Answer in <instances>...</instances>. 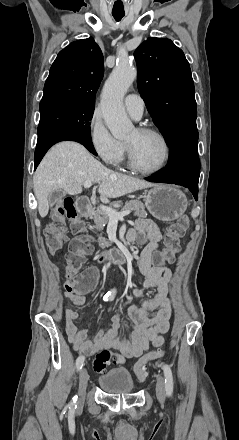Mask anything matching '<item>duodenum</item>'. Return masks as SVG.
<instances>
[{"mask_svg":"<svg viewBox=\"0 0 239 440\" xmlns=\"http://www.w3.org/2000/svg\"><path fill=\"white\" fill-rule=\"evenodd\" d=\"M76 207L80 215L88 216L92 212V205L88 197H79L76 201ZM126 259L125 253L119 249H111L99 255V262L122 263Z\"/></svg>","mask_w":239,"mask_h":440,"instance_id":"duodenum-1","label":"duodenum"}]
</instances>
